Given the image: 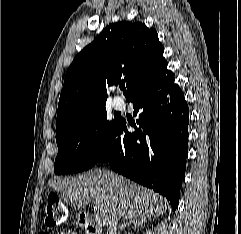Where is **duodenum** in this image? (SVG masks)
<instances>
[{
	"label": "duodenum",
	"instance_id": "obj_1",
	"mask_svg": "<svg viewBox=\"0 0 241 234\" xmlns=\"http://www.w3.org/2000/svg\"><path fill=\"white\" fill-rule=\"evenodd\" d=\"M79 224L85 229L87 234H101L99 227L92 222L86 212H81L78 217Z\"/></svg>",
	"mask_w": 241,
	"mask_h": 234
}]
</instances>
